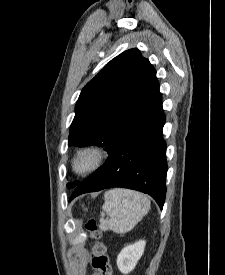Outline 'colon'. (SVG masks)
Instances as JSON below:
<instances>
[{"label":"colon","mask_w":225,"mask_h":275,"mask_svg":"<svg viewBox=\"0 0 225 275\" xmlns=\"http://www.w3.org/2000/svg\"><path fill=\"white\" fill-rule=\"evenodd\" d=\"M84 229L89 237L94 241L92 247L91 264L98 275H112V265L106 252V247L102 242V232L95 219H87L84 222Z\"/></svg>","instance_id":"1"}]
</instances>
